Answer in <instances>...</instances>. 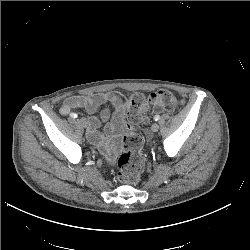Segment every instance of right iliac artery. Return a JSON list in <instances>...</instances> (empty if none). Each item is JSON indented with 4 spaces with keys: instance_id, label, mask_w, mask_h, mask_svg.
Segmentation results:
<instances>
[{
    "instance_id": "1",
    "label": "right iliac artery",
    "mask_w": 250,
    "mask_h": 250,
    "mask_svg": "<svg viewBox=\"0 0 250 250\" xmlns=\"http://www.w3.org/2000/svg\"><path fill=\"white\" fill-rule=\"evenodd\" d=\"M70 117L73 118V119H75V118L77 117V114H75V113H70Z\"/></svg>"
}]
</instances>
